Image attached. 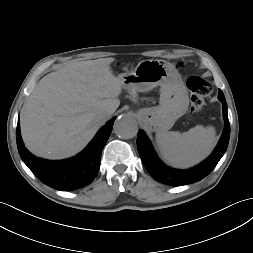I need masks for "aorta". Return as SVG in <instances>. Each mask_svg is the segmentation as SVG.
Segmentation results:
<instances>
[{
    "mask_svg": "<svg viewBox=\"0 0 253 253\" xmlns=\"http://www.w3.org/2000/svg\"><path fill=\"white\" fill-rule=\"evenodd\" d=\"M114 133L124 139H130L137 135L138 123L131 115L119 116L114 123Z\"/></svg>",
    "mask_w": 253,
    "mask_h": 253,
    "instance_id": "obj_1",
    "label": "aorta"
}]
</instances>
